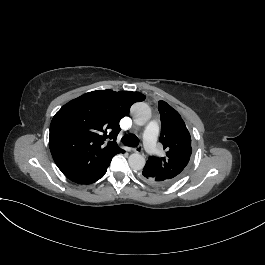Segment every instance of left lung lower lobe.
I'll return each mask as SVG.
<instances>
[{
    "label": "left lung lower lobe",
    "mask_w": 265,
    "mask_h": 265,
    "mask_svg": "<svg viewBox=\"0 0 265 265\" xmlns=\"http://www.w3.org/2000/svg\"><path fill=\"white\" fill-rule=\"evenodd\" d=\"M142 178L149 184L156 186H164L158 182V178L154 177L152 172L145 166L142 171Z\"/></svg>",
    "instance_id": "left-lung-lower-lobe-1"
}]
</instances>
